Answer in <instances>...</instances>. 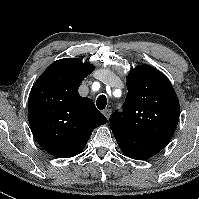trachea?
<instances>
[{"label": "trachea", "mask_w": 199, "mask_h": 199, "mask_svg": "<svg viewBox=\"0 0 199 199\" xmlns=\"http://www.w3.org/2000/svg\"><path fill=\"white\" fill-rule=\"evenodd\" d=\"M96 105L98 107V109L103 110L106 108L107 105V98L105 95H100L98 96L97 100H96Z\"/></svg>", "instance_id": "3493384b"}]
</instances>
